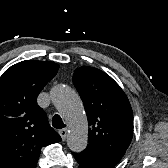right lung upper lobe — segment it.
<instances>
[{
	"label": "right lung upper lobe",
	"instance_id": "right-lung-upper-lobe-1",
	"mask_svg": "<svg viewBox=\"0 0 168 168\" xmlns=\"http://www.w3.org/2000/svg\"><path fill=\"white\" fill-rule=\"evenodd\" d=\"M51 61H22L0 77V168H36L43 146L61 141L37 96L57 73Z\"/></svg>",
	"mask_w": 168,
	"mask_h": 168
}]
</instances>
